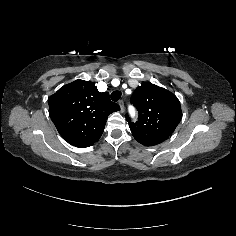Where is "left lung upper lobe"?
Listing matches in <instances>:
<instances>
[{
    "label": "left lung upper lobe",
    "mask_w": 236,
    "mask_h": 236,
    "mask_svg": "<svg viewBox=\"0 0 236 236\" xmlns=\"http://www.w3.org/2000/svg\"><path fill=\"white\" fill-rule=\"evenodd\" d=\"M137 108L138 121L129 122L130 130L137 140L163 142L175 130L182 118L178 98L170 91L155 84L143 82L130 99Z\"/></svg>",
    "instance_id": "1"
}]
</instances>
